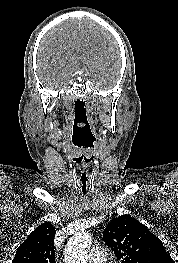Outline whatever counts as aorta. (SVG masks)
<instances>
[{
  "label": "aorta",
  "mask_w": 178,
  "mask_h": 263,
  "mask_svg": "<svg viewBox=\"0 0 178 263\" xmlns=\"http://www.w3.org/2000/svg\"><path fill=\"white\" fill-rule=\"evenodd\" d=\"M92 237L87 232H78L69 239L65 249V263H87Z\"/></svg>",
  "instance_id": "762f6f07"
}]
</instances>
